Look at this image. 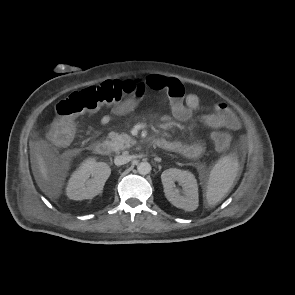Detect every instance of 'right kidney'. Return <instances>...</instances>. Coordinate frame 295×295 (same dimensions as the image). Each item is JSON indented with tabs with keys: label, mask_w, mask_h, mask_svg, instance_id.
Listing matches in <instances>:
<instances>
[{
	"label": "right kidney",
	"mask_w": 295,
	"mask_h": 295,
	"mask_svg": "<svg viewBox=\"0 0 295 295\" xmlns=\"http://www.w3.org/2000/svg\"><path fill=\"white\" fill-rule=\"evenodd\" d=\"M110 174L111 168L107 163L96 162L94 158L85 160L72 174L66 189L67 196L72 200L92 199L102 192Z\"/></svg>",
	"instance_id": "obj_1"
}]
</instances>
